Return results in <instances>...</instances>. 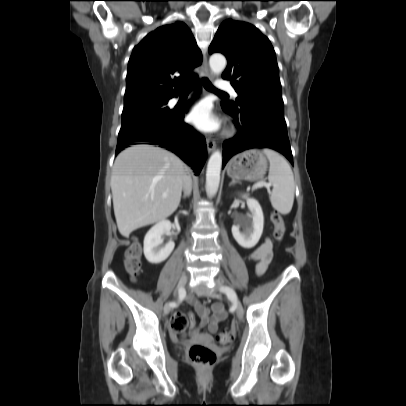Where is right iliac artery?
Instances as JSON below:
<instances>
[{"mask_svg": "<svg viewBox=\"0 0 406 406\" xmlns=\"http://www.w3.org/2000/svg\"><path fill=\"white\" fill-rule=\"evenodd\" d=\"M184 294H185V293H184V289H180V290H179V298L182 299V298L184 297ZM170 306H171V307H175V306H176V303L171 302V303H170Z\"/></svg>", "mask_w": 406, "mask_h": 406, "instance_id": "1", "label": "right iliac artery"}]
</instances>
